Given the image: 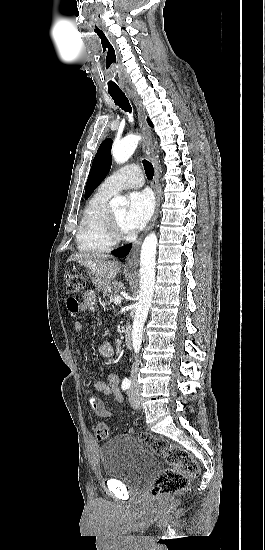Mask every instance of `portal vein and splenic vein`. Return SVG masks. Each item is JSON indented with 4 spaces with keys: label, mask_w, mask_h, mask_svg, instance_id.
Here are the masks:
<instances>
[{
    "label": "portal vein and splenic vein",
    "mask_w": 265,
    "mask_h": 550,
    "mask_svg": "<svg viewBox=\"0 0 265 550\" xmlns=\"http://www.w3.org/2000/svg\"><path fill=\"white\" fill-rule=\"evenodd\" d=\"M113 303H114L115 305L121 304V298H120L119 296H115V297L113 298Z\"/></svg>",
    "instance_id": "obj_1"
}]
</instances>
